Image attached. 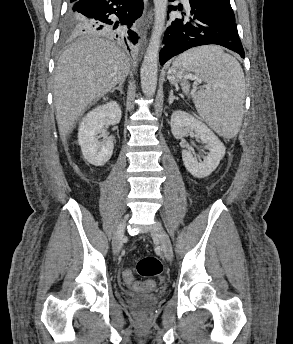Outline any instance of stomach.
<instances>
[{"instance_id": "0dacf381", "label": "stomach", "mask_w": 293, "mask_h": 344, "mask_svg": "<svg viewBox=\"0 0 293 344\" xmlns=\"http://www.w3.org/2000/svg\"><path fill=\"white\" fill-rule=\"evenodd\" d=\"M190 71L192 70L182 66L175 60L172 66L168 69L167 77L174 85H178V83H187Z\"/></svg>"}]
</instances>
